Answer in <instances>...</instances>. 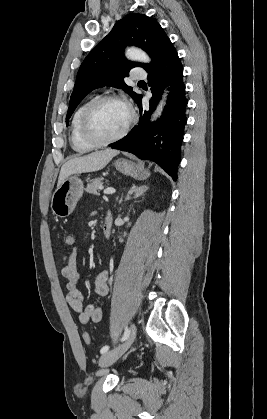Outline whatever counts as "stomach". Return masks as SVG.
Listing matches in <instances>:
<instances>
[{"label":"stomach","mask_w":267,"mask_h":419,"mask_svg":"<svg viewBox=\"0 0 267 419\" xmlns=\"http://www.w3.org/2000/svg\"><path fill=\"white\" fill-rule=\"evenodd\" d=\"M115 168L119 172L139 180L146 179L150 175L142 163H135L126 159L116 160ZM83 191V182L78 175L67 177L57 186V189L52 195L51 210L53 214L60 218L69 216L82 197Z\"/></svg>","instance_id":"1"}]
</instances>
